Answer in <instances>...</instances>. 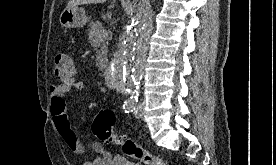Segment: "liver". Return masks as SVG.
<instances>
[{"label": "liver", "instance_id": "6515ba94", "mask_svg": "<svg viewBox=\"0 0 276 165\" xmlns=\"http://www.w3.org/2000/svg\"><path fill=\"white\" fill-rule=\"evenodd\" d=\"M106 0H70L66 6L67 9H73L78 7V5L85 4H100L104 3Z\"/></svg>", "mask_w": 276, "mask_h": 165}]
</instances>
